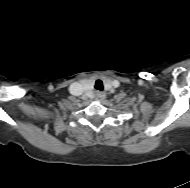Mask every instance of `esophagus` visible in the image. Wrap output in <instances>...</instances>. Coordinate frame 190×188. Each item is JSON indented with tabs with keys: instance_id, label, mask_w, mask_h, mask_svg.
<instances>
[{
	"instance_id": "obj_1",
	"label": "esophagus",
	"mask_w": 190,
	"mask_h": 188,
	"mask_svg": "<svg viewBox=\"0 0 190 188\" xmlns=\"http://www.w3.org/2000/svg\"><path fill=\"white\" fill-rule=\"evenodd\" d=\"M105 97H106V95H105V93H103V92L97 91V92L95 93V99L98 100V101L104 100Z\"/></svg>"
}]
</instances>
